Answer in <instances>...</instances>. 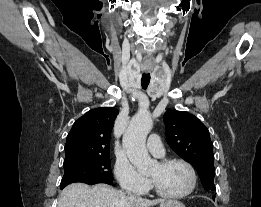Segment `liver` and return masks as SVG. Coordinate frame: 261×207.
Here are the masks:
<instances>
[{"label":"liver","instance_id":"6515ba94","mask_svg":"<svg viewBox=\"0 0 261 207\" xmlns=\"http://www.w3.org/2000/svg\"><path fill=\"white\" fill-rule=\"evenodd\" d=\"M163 201L130 198L106 184L90 188L83 183H73L63 189L57 207H151Z\"/></svg>","mask_w":261,"mask_h":207}]
</instances>
